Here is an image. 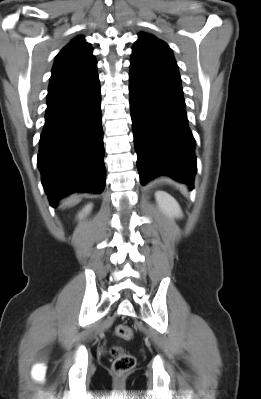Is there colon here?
Listing matches in <instances>:
<instances>
[{
    "label": "colon",
    "mask_w": 261,
    "mask_h": 399,
    "mask_svg": "<svg viewBox=\"0 0 261 399\" xmlns=\"http://www.w3.org/2000/svg\"><path fill=\"white\" fill-rule=\"evenodd\" d=\"M115 335L124 340H130L133 337V329L127 325H118L115 328ZM113 360V371L116 374H124L130 371L135 365V358L132 354L126 353L118 347L111 351Z\"/></svg>",
    "instance_id": "1"
}]
</instances>
